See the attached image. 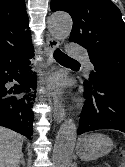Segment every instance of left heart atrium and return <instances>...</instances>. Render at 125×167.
Instances as JSON below:
<instances>
[{"instance_id":"1","label":"left heart atrium","mask_w":125,"mask_h":167,"mask_svg":"<svg viewBox=\"0 0 125 167\" xmlns=\"http://www.w3.org/2000/svg\"><path fill=\"white\" fill-rule=\"evenodd\" d=\"M63 85L60 79L54 78L49 82V90L55 95H58L62 89Z\"/></svg>"}]
</instances>
